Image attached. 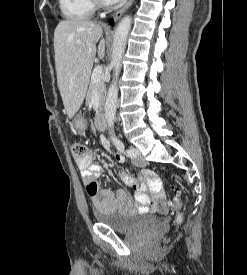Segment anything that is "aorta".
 Instances as JSON below:
<instances>
[{
	"mask_svg": "<svg viewBox=\"0 0 247 275\" xmlns=\"http://www.w3.org/2000/svg\"><path fill=\"white\" fill-rule=\"evenodd\" d=\"M132 18L124 17L118 24L113 39L112 60L113 79L110 84L106 103H105V118L107 121L110 137L114 140V122L116 116L117 99H118V78L121 71L122 58L125 52L127 37L131 29Z\"/></svg>",
	"mask_w": 247,
	"mask_h": 275,
	"instance_id": "obj_1",
	"label": "aorta"
}]
</instances>
